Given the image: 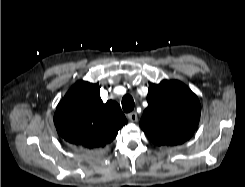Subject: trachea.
Segmentation results:
<instances>
[{"label": "trachea", "mask_w": 245, "mask_h": 187, "mask_svg": "<svg viewBox=\"0 0 245 187\" xmlns=\"http://www.w3.org/2000/svg\"><path fill=\"white\" fill-rule=\"evenodd\" d=\"M135 103L130 95H125L122 98V108L125 112H131L134 109Z\"/></svg>", "instance_id": "trachea-1"}]
</instances>
